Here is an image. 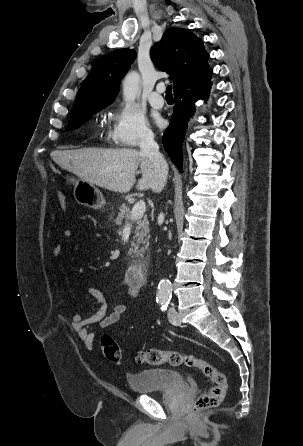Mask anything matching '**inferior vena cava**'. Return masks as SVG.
Returning <instances> with one entry per match:
<instances>
[{
  "mask_svg": "<svg viewBox=\"0 0 303 446\" xmlns=\"http://www.w3.org/2000/svg\"><path fill=\"white\" fill-rule=\"evenodd\" d=\"M140 152L154 165L162 186L165 185L168 175V165L164 156L159 152V146L152 133L147 134L140 142Z\"/></svg>",
  "mask_w": 303,
  "mask_h": 446,
  "instance_id": "inferior-vena-cava-1",
  "label": "inferior vena cava"
}]
</instances>
